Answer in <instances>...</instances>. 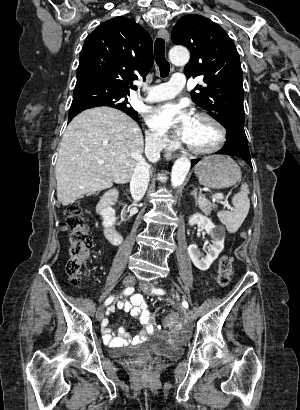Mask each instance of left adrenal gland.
Returning a JSON list of instances; mask_svg holds the SVG:
<instances>
[{
	"label": "left adrenal gland",
	"mask_w": 300,
	"mask_h": 410,
	"mask_svg": "<svg viewBox=\"0 0 300 410\" xmlns=\"http://www.w3.org/2000/svg\"><path fill=\"white\" fill-rule=\"evenodd\" d=\"M191 195L194 197V199H195V204L197 205V203H198L197 188H195V189L191 192Z\"/></svg>",
	"instance_id": "left-adrenal-gland-1"
}]
</instances>
